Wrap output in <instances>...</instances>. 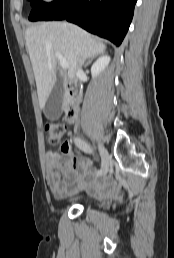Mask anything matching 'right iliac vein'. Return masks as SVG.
Masks as SVG:
<instances>
[{"label":"right iliac vein","mask_w":174,"mask_h":258,"mask_svg":"<svg viewBox=\"0 0 174 258\" xmlns=\"http://www.w3.org/2000/svg\"><path fill=\"white\" fill-rule=\"evenodd\" d=\"M98 146H99L100 155L102 159L101 169H102V172L105 174L108 171V167H109V160H110L109 154L101 143H99Z\"/></svg>","instance_id":"obj_1"}]
</instances>
